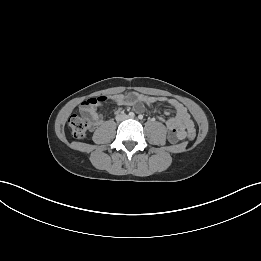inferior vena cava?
Instances as JSON below:
<instances>
[{
  "label": "inferior vena cava",
  "instance_id": "obj_1",
  "mask_svg": "<svg viewBox=\"0 0 261 261\" xmlns=\"http://www.w3.org/2000/svg\"><path fill=\"white\" fill-rule=\"evenodd\" d=\"M125 118H127L126 115H118V116L116 117V120H117V121H122V120H124Z\"/></svg>",
  "mask_w": 261,
  "mask_h": 261
}]
</instances>
